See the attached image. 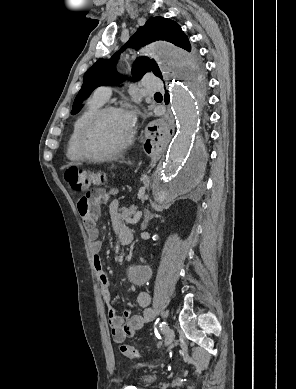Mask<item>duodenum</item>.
I'll use <instances>...</instances> for the list:
<instances>
[{"label": "duodenum", "mask_w": 296, "mask_h": 389, "mask_svg": "<svg viewBox=\"0 0 296 389\" xmlns=\"http://www.w3.org/2000/svg\"><path fill=\"white\" fill-rule=\"evenodd\" d=\"M122 243H123V244H128V243H130V240H129V239H123V240H122Z\"/></svg>", "instance_id": "obj_1"}]
</instances>
